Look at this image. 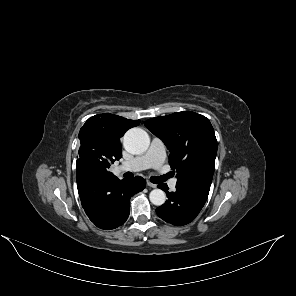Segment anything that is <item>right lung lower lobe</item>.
Segmentation results:
<instances>
[{
  "label": "right lung lower lobe",
  "mask_w": 296,
  "mask_h": 296,
  "mask_svg": "<svg viewBox=\"0 0 296 296\" xmlns=\"http://www.w3.org/2000/svg\"><path fill=\"white\" fill-rule=\"evenodd\" d=\"M76 167L78 193L89 219L105 230L124 224L129 216L130 198L145 188V179L137 176L119 180L113 174L104 176L81 159L77 160Z\"/></svg>",
  "instance_id": "1"
}]
</instances>
